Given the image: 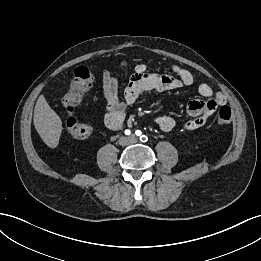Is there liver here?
Returning a JSON list of instances; mask_svg holds the SVG:
<instances>
[{
  "mask_svg": "<svg viewBox=\"0 0 261 261\" xmlns=\"http://www.w3.org/2000/svg\"><path fill=\"white\" fill-rule=\"evenodd\" d=\"M33 122L44 143L50 148L57 147L62 132V121L49 106L44 95H40L36 101Z\"/></svg>",
  "mask_w": 261,
  "mask_h": 261,
  "instance_id": "1",
  "label": "liver"
}]
</instances>
